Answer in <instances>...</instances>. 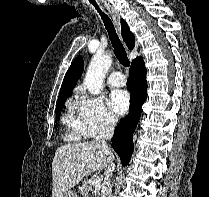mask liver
<instances>
[{"label":"liver","mask_w":209,"mask_h":197,"mask_svg":"<svg viewBox=\"0 0 209 197\" xmlns=\"http://www.w3.org/2000/svg\"><path fill=\"white\" fill-rule=\"evenodd\" d=\"M108 149L96 140L57 148L52 162V197H62L85 176L105 169L109 159H114Z\"/></svg>","instance_id":"obj_1"}]
</instances>
